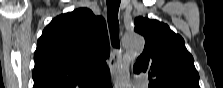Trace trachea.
I'll list each match as a JSON object with an SVG mask.
<instances>
[{
	"label": "trachea",
	"mask_w": 223,
	"mask_h": 88,
	"mask_svg": "<svg viewBox=\"0 0 223 88\" xmlns=\"http://www.w3.org/2000/svg\"><path fill=\"white\" fill-rule=\"evenodd\" d=\"M107 3V20L110 30L111 44L114 48H120L119 44V21L118 10L120 0H106Z\"/></svg>",
	"instance_id": "3493384b"
}]
</instances>
